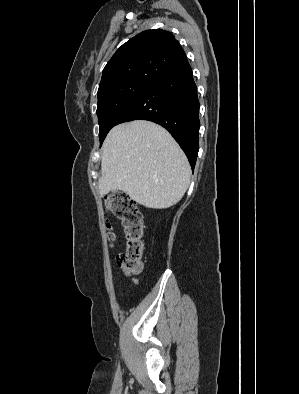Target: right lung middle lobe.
I'll use <instances>...</instances> for the list:
<instances>
[{"instance_id": "right-lung-middle-lobe-1", "label": "right lung middle lobe", "mask_w": 299, "mask_h": 394, "mask_svg": "<svg viewBox=\"0 0 299 394\" xmlns=\"http://www.w3.org/2000/svg\"><path fill=\"white\" fill-rule=\"evenodd\" d=\"M150 83H125L98 94L97 116L102 144L109 130L117 124L128 107L150 86Z\"/></svg>"}]
</instances>
